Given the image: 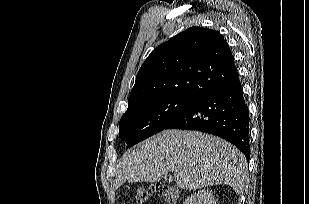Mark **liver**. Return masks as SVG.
Returning <instances> with one entry per match:
<instances>
[{
	"mask_svg": "<svg viewBox=\"0 0 309 204\" xmlns=\"http://www.w3.org/2000/svg\"><path fill=\"white\" fill-rule=\"evenodd\" d=\"M115 180L157 182L169 171L179 188L196 190L227 184L239 193L244 186V155L223 139L197 131L166 130L126 152Z\"/></svg>",
	"mask_w": 309,
	"mask_h": 204,
	"instance_id": "6515ba94",
	"label": "liver"
}]
</instances>
